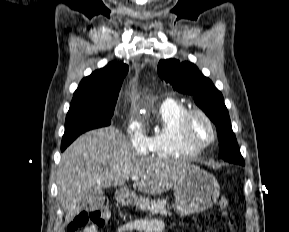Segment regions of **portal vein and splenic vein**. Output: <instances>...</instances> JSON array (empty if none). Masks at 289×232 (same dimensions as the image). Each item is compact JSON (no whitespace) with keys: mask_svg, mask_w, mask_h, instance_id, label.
<instances>
[{"mask_svg":"<svg viewBox=\"0 0 289 232\" xmlns=\"http://www.w3.org/2000/svg\"><path fill=\"white\" fill-rule=\"evenodd\" d=\"M131 179H132L133 181H137V180H139L140 178H139V176L134 175V176L131 177Z\"/></svg>","mask_w":289,"mask_h":232,"instance_id":"18ae733b","label":"portal vein and splenic vein"}]
</instances>
